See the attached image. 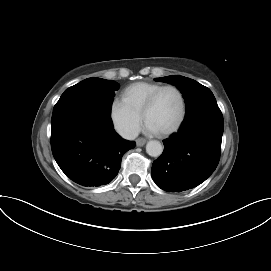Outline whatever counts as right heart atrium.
<instances>
[{"label":"right heart atrium","mask_w":271,"mask_h":271,"mask_svg":"<svg viewBox=\"0 0 271 271\" xmlns=\"http://www.w3.org/2000/svg\"><path fill=\"white\" fill-rule=\"evenodd\" d=\"M109 117L116 132L125 139L134 138L142 124V116L130 109L122 99L111 102Z\"/></svg>","instance_id":"d8ad5b80"}]
</instances>
